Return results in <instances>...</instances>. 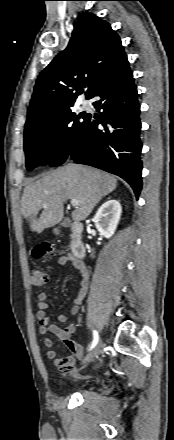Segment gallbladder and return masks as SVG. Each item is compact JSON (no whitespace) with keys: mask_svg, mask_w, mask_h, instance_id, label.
<instances>
[{"mask_svg":"<svg viewBox=\"0 0 174 440\" xmlns=\"http://www.w3.org/2000/svg\"><path fill=\"white\" fill-rule=\"evenodd\" d=\"M69 224H70V222H69L68 219H64V220L62 221V223H61V225H62L63 227H68Z\"/></svg>","mask_w":174,"mask_h":440,"instance_id":"obj_1","label":"gallbladder"}]
</instances>
